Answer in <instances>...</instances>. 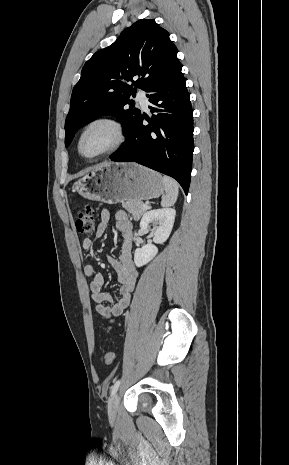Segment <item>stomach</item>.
<instances>
[{
  "label": "stomach",
  "instance_id": "0dacf381",
  "mask_svg": "<svg viewBox=\"0 0 289 465\" xmlns=\"http://www.w3.org/2000/svg\"><path fill=\"white\" fill-rule=\"evenodd\" d=\"M72 188L84 198L108 204L157 198L165 189L159 173L136 163L100 165Z\"/></svg>",
  "mask_w": 289,
  "mask_h": 465
}]
</instances>
